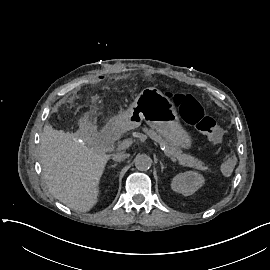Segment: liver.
<instances>
[{
  "instance_id": "1",
  "label": "liver",
  "mask_w": 270,
  "mask_h": 270,
  "mask_svg": "<svg viewBox=\"0 0 270 270\" xmlns=\"http://www.w3.org/2000/svg\"><path fill=\"white\" fill-rule=\"evenodd\" d=\"M43 175L49 192L70 208L83 212L101 196V177L110 160L92 140L78 142L75 133L46 125L40 135Z\"/></svg>"
}]
</instances>
